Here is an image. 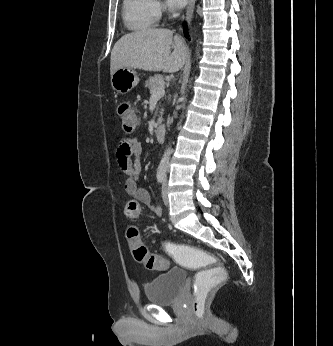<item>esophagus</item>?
I'll return each mask as SVG.
<instances>
[{"mask_svg":"<svg viewBox=\"0 0 333 346\" xmlns=\"http://www.w3.org/2000/svg\"><path fill=\"white\" fill-rule=\"evenodd\" d=\"M195 1L196 0H190L189 1V4L187 6V9H186V15H185V19L188 23H190V21L192 20L193 18V13H194V8H195Z\"/></svg>","mask_w":333,"mask_h":346,"instance_id":"34e87169","label":"esophagus"}]
</instances>
